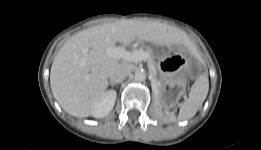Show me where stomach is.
<instances>
[{"label": "stomach", "instance_id": "stomach-1", "mask_svg": "<svg viewBox=\"0 0 261 150\" xmlns=\"http://www.w3.org/2000/svg\"><path fill=\"white\" fill-rule=\"evenodd\" d=\"M159 61L157 69L160 77L170 86L184 85L188 70V60L181 54L159 55V50H154Z\"/></svg>", "mask_w": 261, "mask_h": 150}]
</instances>
